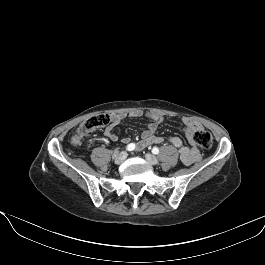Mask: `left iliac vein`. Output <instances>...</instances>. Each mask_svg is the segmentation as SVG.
<instances>
[{"mask_svg": "<svg viewBox=\"0 0 265 265\" xmlns=\"http://www.w3.org/2000/svg\"><path fill=\"white\" fill-rule=\"evenodd\" d=\"M145 158H146V160H147L150 164H152V165H156V164H158V159H157V157L154 156V155H152V154H150V153H147V154L145 155Z\"/></svg>", "mask_w": 265, "mask_h": 265, "instance_id": "left-iliac-vein-1", "label": "left iliac vein"}]
</instances>
